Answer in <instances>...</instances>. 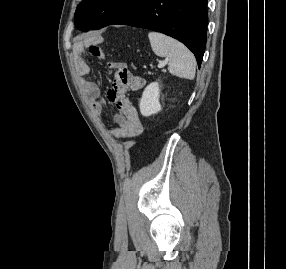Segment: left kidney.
<instances>
[{"instance_id":"5707ae66","label":"left kidney","mask_w":286,"mask_h":269,"mask_svg":"<svg viewBox=\"0 0 286 269\" xmlns=\"http://www.w3.org/2000/svg\"><path fill=\"white\" fill-rule=\"evenodd\" d=\"M159 96L160 89L157 82H153L145 88L139 104L140 112L143 116L147 117L161 110Z\"/></svg>"}]
</instances>
